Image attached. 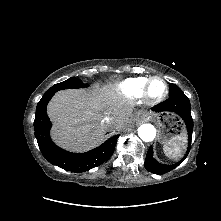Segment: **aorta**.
<instances>
[{
	"mask_svg": "<svg viewBox=\"0 0 221 221\" xmlns=\"http://www.w3.org/2000/svg\"><path fill=\"white\" fill-rule=\"evenodd\" d=\"M138 136L144 142H151L155 138V136H156V129L151 124H142L138 128Z\"/></svg>",
	"mask_w": 221,
	"mask_h": 221,
	"instance_id": "obj_1",
	"label": "aorta"
}]
</instances>
